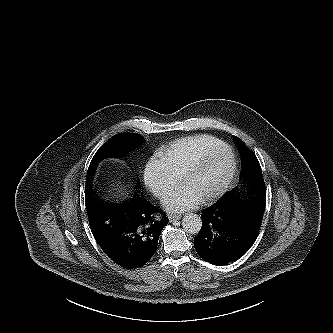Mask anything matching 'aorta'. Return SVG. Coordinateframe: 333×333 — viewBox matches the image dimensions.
Here are the masks:
<instances>
[{"label":"aorta","instance_id":"762f6f07","mask_svg":"<svg viewBox=\"0 0 333 333\" xmlns=\"http://www.w3.org/2000/svg\"><path fill=\"white\" fill-rule=\"evenodd\" d=\"M182 226L186 233L195 235L201 230L202 221L199 215L189 213L183 217Z\"/></svg>","mask_w":333,"mask_h":333}]
</instances>
